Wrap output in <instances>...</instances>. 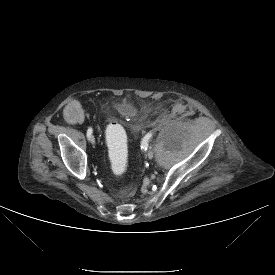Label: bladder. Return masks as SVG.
<instances>
[{
    "label": "bladder",
    "mask_w": 275,
    "mask_h": 275,
    "mask_svg": "<svg viewBox=\"0 0 275 275\" xmlns=\"http://www.w3.org/2000/svg\"><path fill=\"white\" fill-rule=\"evenodd\" d=\"M137 112L136 105L130 101H120L115 109L116 116L126 118H133ZM134 113V114H133Z\"/></svg>",
    "instance_id": "1"
}]
</instances>
